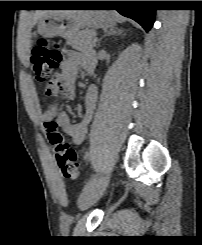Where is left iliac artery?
Instances as JSON below:
<instances>
[{
    "instance_id": "left-iliac-artery-1",
    "label": "left iliac artery",
    "mask_w": 202,
    "mask_h": 245,
    "mask_svg": "<svg viewBox=\"0 0 202 245\" xmlns=\"http://www.w3.org/2000/svg\"><path fill=\"white\" fill-rule=\"evenodd\" d=\"M97 175H94L84 186L83 193L88 192L90 189H92L97 184Z\"/></svg>"
}]
</instances>
